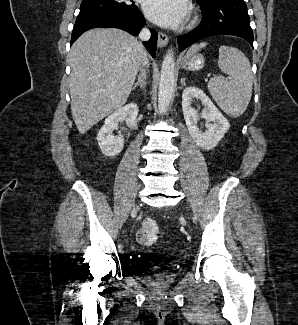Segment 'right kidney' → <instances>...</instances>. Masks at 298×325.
<instances>
[{
    "instance_id": "right-kidney-1",
    "label": "right kidney",
    "mask_w": 298,
    "mask_h": 325,
    "mask_svg": "<svg viewBox=\"0 0 298 325\" xmlns=\"http://www.w3.org/2000/svg\"><path fill=\"white\" fill-rule=\"evenodd\" d=\"M137 114L138 106L136 102H129V104L117 108L115 112L105 118L104 124L97 134L98 144L105 156H115V154L121 152L124 146V138L121 134L114 136L113 130L118 128L119 122H123V120H125L126 124H132Z\"/></svg>"
}]
</instances>
